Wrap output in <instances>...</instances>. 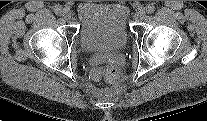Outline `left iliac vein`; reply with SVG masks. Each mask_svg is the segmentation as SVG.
I'll return each instance as SVG.
<instances>
[{
    "label": "left iliac vein",
    "mask_w": 207,
    "mask_h": 121,
    "mask_svg": "<svg viewBox=\"0 0 207 121\" xmlns=\"http://www.w3.org/2000/svg\"><path fill=\"white\" fill-rule=\"evenodd\" d=\"M145 16H146V10H145V8H140L137 11V17L140 18V19H143Z\"/></svg>",
    "instance_id": "4c4485c4"
}]
</instances>
